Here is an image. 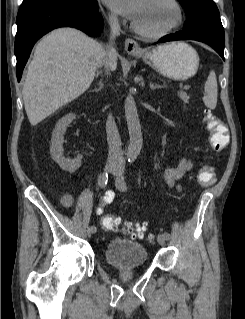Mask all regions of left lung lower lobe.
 <instances>
[{
	"mask_svg": "<svg viewBox=\"0 0 245 319\" xmlns=\"http://www.w3.org/2000/svg\"><path fill=\"white\" fill-rule=\"evenodd\" d=\"M175 40H197L210 45L224 59V36L204 28H196L179 31L166 35L159 40V43Z\"/></svg>",
	"mask_w": 245,
	"mask_h": 319,
	"instance_id": "obj_1",
	"label": "left lung lower lobe"
}]
</instances>
